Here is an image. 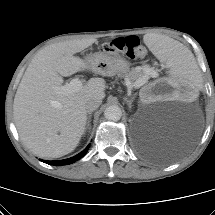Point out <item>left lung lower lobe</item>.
<instances>
[{
    "mask_svg": "<svg viewBox=\"0 0 215 215\" xmlns=\"http://www.w3.org/2000/svg\"><path fill=\"white\" fill-rule=\"evenodd\" d=\"M150 155H154V156H166V148L163 147H159L157 149L151 150L149 152Z\"/></svg>",
    "mask_w": 215,
    "mask_h": 215,
    "instance_id": "0a47b994",
    "label": "left lung lower lobe"
}]
</instances>
